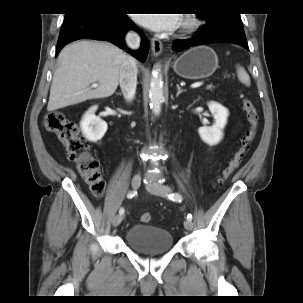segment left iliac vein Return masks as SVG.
Wrapping results in <instances>:
<instances>
[{
  "label": "left iliac vein",
  "instance_id": "left-iliac-vein-1",
  "mask_svg": "<svg viewBox=\"0 0 303 303\" xmlns=\"http://www.w3.org/2000/svg\"><path fill=\"white\" fill-rule=\"evenodd\" d=\"M146 188L149 192L159 195L161 197L166 196L167 194H169L171 192L170 187L163 185V184H159L155 181L147 183L146 184ZM184 227L186 230H192L193 228V222L191 220H185L184 221Z\"/></svg>",
  "mask_w": 303,
  "mask_h": 303
}]
</instances>
